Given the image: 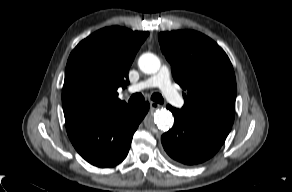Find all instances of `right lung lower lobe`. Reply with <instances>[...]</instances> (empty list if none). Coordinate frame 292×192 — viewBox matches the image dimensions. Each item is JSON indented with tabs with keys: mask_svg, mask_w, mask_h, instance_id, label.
<instances>
[{
	"mask_svg": "<svg viewBox=\"0 0 292 192\" xmlns=\"http://www.w3.org/2000/svg\"><path fill=\"white\" fill-rule=\"evenodd\" d=\"M149 103L127 105L107 114L65 117L67 134L78 153L101 168L113 167L128 154L132 137Z\"/></svg>",
	"mask_w": 292,
	"mask_h": 192,
	"instance_id": "obj_1",
	"label": "right lung lower lobe"
}]
</instances>
